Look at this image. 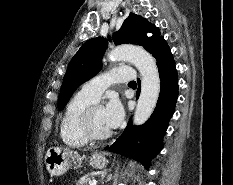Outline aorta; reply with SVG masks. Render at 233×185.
Wrapping results in <instances>:
<instances>
[{"instance_id": "obj_1", "label": "aorta", "mask_w": 233, "mask_h": 185, "mask_svg": "<svg viewBox=\"0 0 233 185\" xmlns=\"http://www.w3.org/2000/svg\"><path fill=\"white\" fill-rule=\"evenodd\" d=\"M110 61H129L140 72L141 93L134 112L133 123L144 124L151 116L160 93V78L156 62L145 49L137 46L122 45L111 50Z\"/></svg>"}]
</instances>
